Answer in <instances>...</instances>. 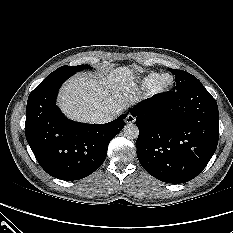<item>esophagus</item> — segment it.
Segmentation results:
<instances>
[{"instance_id":"esophagus-1","label":"esophagus","mask_w":233,"mask_h":233,"mask_svg":"<svg viewBox=\"0 0 233 233\" xmlns=\"http://www.w3.org/2000/svg\"><path fill=\"white\" fill-rule=\"evenodd\" d=\"M125 122L127 124L134 123L135 122V117L131 114H128L125 118Z\"/></svg>"}]
</instances>
